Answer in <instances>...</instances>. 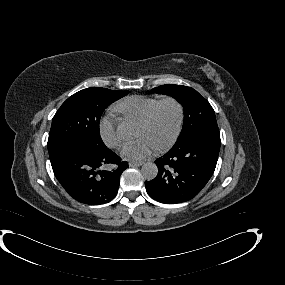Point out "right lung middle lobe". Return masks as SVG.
<instances>
[{"label": "right lung middle lobe", "mask_w": 285, "mask_h": 285, "mask_svg": "<svg viewBox=\"0 0 285 285\" xmlns=\"http://www.w3.org/2000/svg\"><path fill=\"white\" fill-rule=\"evenodd\" d=\"M128 93L91 87L70 96L52 120L47 143L50 157L62 148L73 145L95 153L106 151L108 148L99 132L100 117L105 108Z\"/></svg>", "instance_id": "right-lung-middle-lobe-1"}]
</instances>
